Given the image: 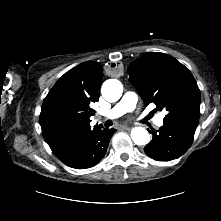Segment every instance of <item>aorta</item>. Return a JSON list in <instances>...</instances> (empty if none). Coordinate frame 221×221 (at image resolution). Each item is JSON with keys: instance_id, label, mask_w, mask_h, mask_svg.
<instances>
[{"instance_id": "aorta-1", "label": "aorta", "mask_w": 221, "mask_h": 221, "mask_svg": "<svg viewBox=\"0 0 221 221\" xmlns=\"http://www.w3.org/2000/svg\"><path fill=\"white\" fill-rule=\"evenodd\" d=\"M102 96L109 102H116L120 99L123 86L117 79L106 80L101 88ZM131 138L136 145H145L150 141L148 131L143 127H134L131 130Z\"/></svg>"}]
</instances>
